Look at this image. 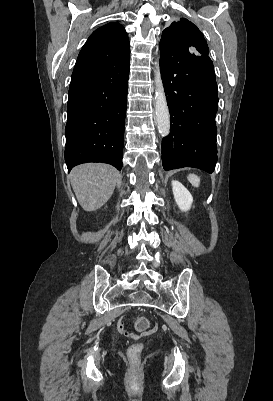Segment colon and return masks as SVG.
<instances>
[{
	"label": "colon",
	"mask_w": 273,
	"mask_h": 401,
	"mask_svg": "<svg viewBox=\"0 0 273 401\" xmlns=\"http://www.w3.org/2000/svg\"><path fill=\"white\" fill-rule=\"evenodd\" d=\"M148 322L146 319H139L137 321L136 330L138 333H147ZM145 351V346L143 342H139L137 340L131 341L128 346V349H124L123 356L124 358H130V367L128 368L127 378L129 381H139L141 379V369L138 365L139 358H141L142 353Z\"/></svg>",
	"instance_id": "1"
}]
</instances>
